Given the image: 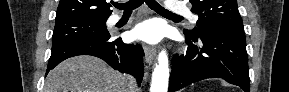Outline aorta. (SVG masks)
<instances>
[{"instance_id": "1", "label": "aorta", "mask_w": 289, "mask_h": 92, "mask_svg": "<svg viewBox=\"0 0 289 92\" xmlns=\"http://www.w3.org/2000/svg\"><path fill=\"white\" fill-rule=\"evenodd\" d=\"M168 55L165 50L158 55V63L152 73L150 92H167L169 81Z\"/></svg>"}]
</instances>
